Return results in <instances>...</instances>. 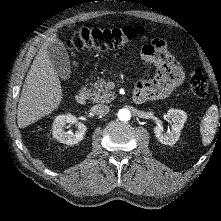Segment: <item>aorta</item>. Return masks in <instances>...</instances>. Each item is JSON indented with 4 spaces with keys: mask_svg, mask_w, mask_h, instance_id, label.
<instances>
[{
    "mask_svg": "<svg viewBox=\"0 0 221 221\" xmlns=\"http://www.w3.org/2000/svg\"><path fill=\"white\" fill-rule=\"evenodd\" d=\"M118 118L121 121H128L131 118V113L128 109H120L118 112Z\"/></svg>",
    "mask_w": 221,
    "mask_h": 221,
    "instance_id": "aorta-1",
    "label": "aorta"
}]
</instances>
